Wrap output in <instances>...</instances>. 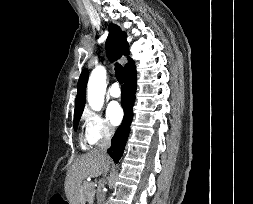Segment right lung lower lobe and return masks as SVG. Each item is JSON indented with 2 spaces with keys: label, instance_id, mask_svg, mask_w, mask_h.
<instances>
[{
  "label": "right lung lower lobe",
  "instance_id": "1",
  "mask_svg": "<svg viewBox=\"0 0 253 204\" xmlns=\"http://www.w3.org/2000/svg\"><path fill=\"white\" fill-rule=\"evenodd\" d=\"M136 75L135 66L131 67L124 74L125 83L122 87L121 105L124 109L125 115L122 124L118 127L111 140V147L108 149V154L116 163H118L123 154L126 139L130 131V124L133 117L132 107L135 101L136 93Z\"/></svg>",
  "mask_w": 253,
  "mask_h": 204
}]
</instances>
